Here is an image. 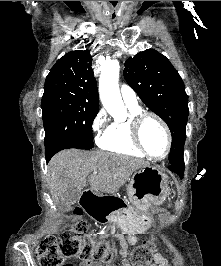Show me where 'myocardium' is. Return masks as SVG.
I'll use <instances>...</instances> for the list:
<instances>
[{
	"label": "myocardium",
	"instance_id": "obj_1",
	"mask_svg": "<svg viewBox=\"0 0 221 266\" xmlns=\"http://www.w3.org/2000/svg\"><path fill=\"white\" fill-rule=\"evenodd\" d=\"M148 118H153L158 122V124L162 127L165 136H166V149L164 153L161 156H154L150 154L147 149L145 148L142 140H141V129L144 121ZM129 126H130V132H131V138L135 146L148 158L152 160H163L167 157L171 150L172 145V137L171 132L166 124V122L157 114L150 112V111H140L134 115H132L129 119Z\"/></svg>",
	"mask_w": 221,
	"mask_h": 266
}]
</instances>
